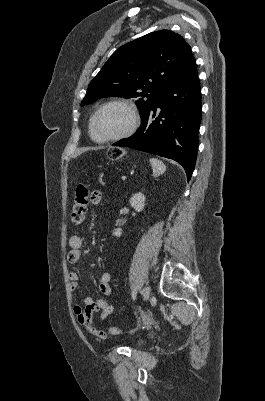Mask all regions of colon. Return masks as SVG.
<instances>
[{"label": "colon", "mask_w": 265, "mask_h": 401, "mask_svg": "<svg viewBox=\"0 0 265 401\" xmlns=\"http://www.w3.org/2000/svg\"><path fill=\"white\" fill-rule=\"evenodd\" d=\"M108 155L112 160H118L123 156V151L119 148H112L109 150ZM89 199V190L86 185L79 184L76 187L74 194V203L72 207V211L70 214L71 224L74 227H78L81 225L84 219V215L86 212V207ZM87 329L94 335L99 336L101 333L99 330L95 329L92 325H88ZM108 332L112 335H121L127 332V330L111 327L108 329Z\"/></svg>", "instance_id": "1"}]
</instances>
